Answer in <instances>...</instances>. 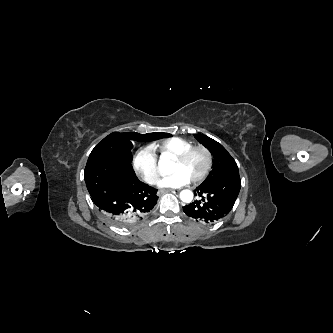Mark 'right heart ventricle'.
Wrapping results in <instances>:
<instances>
[{"label":"right heart ventricle","mask_w":333,"mask_h":333,"mask_svg":"<svg viewBox=\"0 0 333 333\" xmlns=\"http://www.w3.org/2000/svg\"><path fill=\"white\" fill-rule=\"evenodd\" d=\"M192 146L193 144L186 139L171 137L153 143L151 148L159 152L164 157L174 159L178 154Z\"/></svg>","instance_id":"e07e8e85"}]
</instances>
